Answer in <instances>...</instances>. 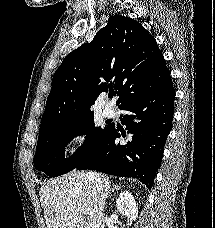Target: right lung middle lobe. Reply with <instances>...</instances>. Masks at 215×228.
<instances>
[{
  "mask_svg": "<svg viewBox=\"0 0 215 228\" xmlns=\"http://www.w3.org/2000/svg\"><path fill=\"white\" fill-rule=\"evenodd\" d=\"M112 127L111 124L104 128L95 127L94 114L72 122L41 127L33 160L35 168L49 177L72 171L108 137ZM83 134H86L84 143L71 157L65 158V146Z\"/></svg>",
  "mask_w": 215,
  "mask_h": 228,
  "instance_id": "1",
  "label": "right lung middle lobe"
}]
</instances>
